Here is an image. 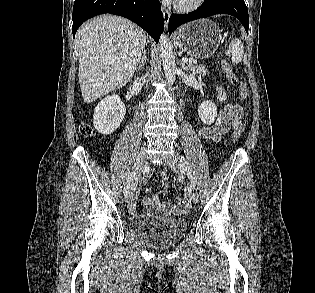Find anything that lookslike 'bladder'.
<instances>
[{
  "label": "bladder",
  "mask_w": 315,
  "mask_h": 293,
  "mask_svg": "<svg viewBox=\"0 0 315 293\" xmlns=\"http://www.w3.org/2000/svg\"><path fill=\"white\" fill-rule=\"evenodd\" d=\"M130 231L143 242L154 247H168L177 243L187 232L186 220L166 214L141 215L130 219Z\"/></svg>",
  "instance_id": "obj_1"
}]
</instances>
